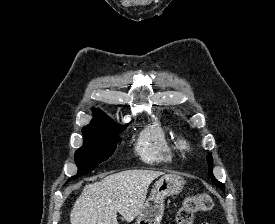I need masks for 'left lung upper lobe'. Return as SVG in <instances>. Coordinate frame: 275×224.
Segmentation results:
<instances>
[{
  "label": "left lung upper lobe",
  "instance_id": "left-lung-upper-lobe-1",
  "mask_svg": "<svg viewBox=\"0 0 275 224\" xmlns=\"http://www.w3.org/2000/svg\"><path fill=\"white\" fill-rule=\"evenodd\" d=\"M208 164H209V176L211 177L212 179V182L219 188H221L223 191L225 190V187L224 185L219 182L214 176H213V173H212V156H208Z\"/></svg>",
  "mask_w": 275,
  "mask_h": 224
}]
</instances>
